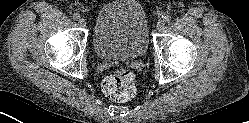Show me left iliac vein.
<instances>
[{
  "mask_svg": "<svg viewBox=\"0 0 249 123\" xmlns=\"http://www.w3.org/2000/svg\"><path fill=\"white\" fill-rule=\"evenodd\" d=\"M158 30H162L165 27V22L164 20H159L156 25Z\"/></svg>",
  "mask_w": 249,
  "mask_h": 123,
  "instance_id": "4c4485c4",
  "label": "left iliac vein"
}]
</instances>
